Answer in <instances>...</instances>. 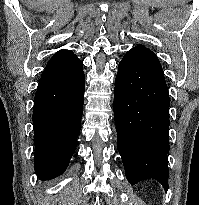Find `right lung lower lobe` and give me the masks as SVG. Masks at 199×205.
I'll return each mask as SVG.
<instances>
[{"instance_id":"right-lung-lower-lobe-1","label":"right lung lower lobe","mask_w":199,"mask_h":205,"mask_svg":"<svg viewBox=\"0 0 199 205\" xmlns=\"http://www.w3.org/2000/svg\"><path fill=\"white\" fill-rule=\"evenodd\" d=\"M40 79L32 116L35 144V172L42 180L61 175L75 151L81 128L85 76Z\"/></svg>"}]
</instances>
